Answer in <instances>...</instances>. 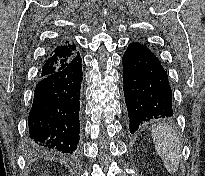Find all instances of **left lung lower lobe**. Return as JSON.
<instances>
[{
    "label": "left lung lower lobe",
    "instance_id": "left-lung-lower-lobe-1",
    "mask_svg": "<svg viewBox=\"0 0 205 176\" xmlns=\"http://www.w3.org/2000/svg\"><path fill=\"white\" fill-rule=\"evenodd\" d=\"M123 83L131 133L150 120L173 116L167 73L145 45H128L123 55Z\"/></svg>",
    "mask_w": 205,
    "mask_h": 176
}]
</instances>
